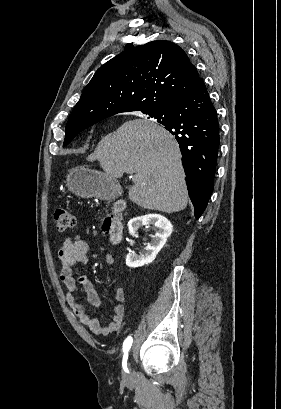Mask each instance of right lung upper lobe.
Wrapping results in <instances>:
<instances>
[{"mask_svg": "<svg viewBox=\"0 0 281 409\" xmlns=\"http://www.w3.org/2000/svg\"><path fill=\"white\" fill-rule=\"evenodd\" d=\"M200 81L186 53L170 41L130 47L96 71L66 127L93 125L122 112L149 113L184 97Z\"/></svg>", "mask_w": 281, "mask_h": 409, "instance_id": "cb5924a9", "label": "right lung upper lobe"}]
</instances>
